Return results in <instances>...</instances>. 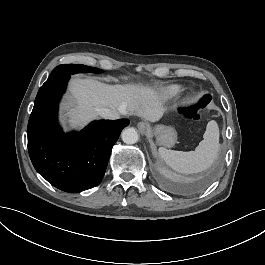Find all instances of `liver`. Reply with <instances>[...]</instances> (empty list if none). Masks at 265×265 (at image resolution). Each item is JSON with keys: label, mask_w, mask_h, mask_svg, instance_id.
Wrapping results in <instances>:
<instances>
[{"label": "liver", "mask_w": 265, "mask_h": 265, "mask_svg": "<svg viewBox=\"0 0 265 265\" xmlns=\"http://www.w3.org/2000/svg\"><path fill=\"white\" fill-rule=\"evenodd\" d=\"M71 92L78 102V105L73 106L72 109L73 112H77L73 123H78L79 119L86 122L100 113V109L107 107L119 112L123 110L135 112L151 122L159 121L163 115V112L157 108L149 109L147 113L136 110V101L143 100L150 92L147 88L130 91L123 86H105L91 78L87 80L77 78L72 82ZM160 103V97H154L153 104L157 106Z\"/></svg>", "instance_id": "6515ba94"}]
</instances>
